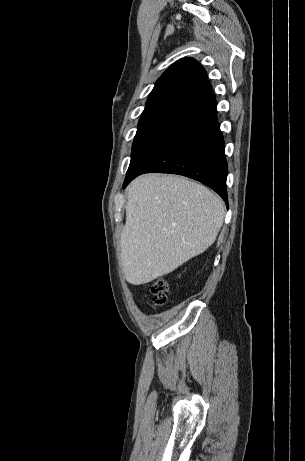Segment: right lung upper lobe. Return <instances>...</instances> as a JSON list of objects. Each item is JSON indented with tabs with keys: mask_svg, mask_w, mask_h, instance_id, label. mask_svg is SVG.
<instances>
[{
	"mask_svg": "<svg viewBox=\"0 0 305 461\" xmlns=\"http://www.w3.org/2000/svg\"><path fill=\"white\" fill-rule=\"evenodd\" d=\"M204 68L192 58L171 65L156 82L145 108L177 105L190 108L211 95Z\"/></svg>",
	"mask_w": 305,
	"mask_h": 461,
	"instance_id": "obj_1",
	"label": "right lung upper lobe"
}]
</instances>
